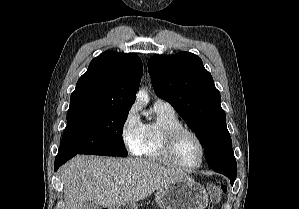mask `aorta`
I'll list each match as a JSON object with an SVG mask.
<instances>
[{
    "label": "aorta",
    "mask_w": 299,
    "mask_h": 209,
    "mask_svg": "<svg viewBox=\"0 0 299 209\" xmlns=\"http://www.w3.org/2000/svg\"><path fill=\"white\" fill-rule=\"evenodd\" d=\"M137 100L138 101H146L148 100V95L147 93L143 92V91H140L137 93V96H136Z\"/></svg>",
    "instance_id": "aorta-1"
}]
</instances>
